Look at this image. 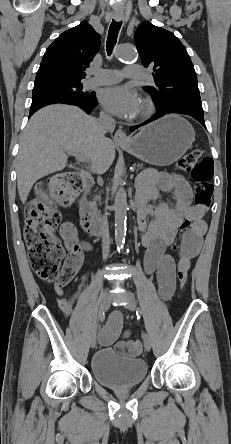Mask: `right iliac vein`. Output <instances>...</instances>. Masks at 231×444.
I'll use <instances>...</instances> for the list:
<instances>
[{
	"label": "right iliac vein",
	"instance_id": "obj_1",
	"mask_svg": "<svg viewBox=\"0 0 231 444\" xmlns=\"http://www.w3.org/2000/svg\"><path fill=\"white\" fill-rule=\"evenodd\" d=\"M108 302L109 301L107 298V293L104 292L102 294L101 303H100V307H99L98 320L102 319L104 312L108 308ZM96 332H97V326L94 327L92 334H91V338H90V345L92 348H94L96 346V342H97Z\"/></svg>",
	"mask_w": 231,
	"mask_h": 444
}]
</instances>
